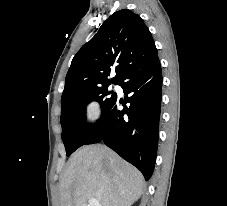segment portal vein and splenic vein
Instances as JSON below:
<instances>
[{"mask_svg":"<svg viewBox=\"0 0 227 206\" xmlns=\"http://www.w3.org/2000/svg\"><path fill=\"white\" fill-rule=\"evenodd\" d=\"M88 206H101V205L95 198H91L88 200Z\"/></svg>","mask_w":227,"mask_h":206,"instance_id":"portal-vein-and-splenic-vein-1","label":"portal vein and splenic vein"}]
</instances>
